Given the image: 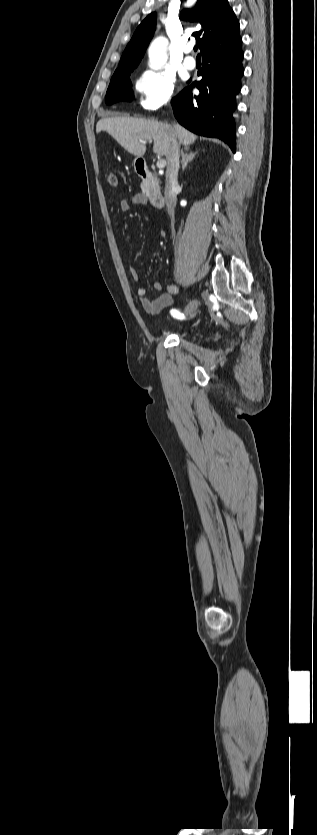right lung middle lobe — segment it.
Returning <instances> with one entry per match:
<instances>
[{"instance_id":"1","label":"right lung middle lobe","mask_w":317,"mask_h":835,"mask_svg":"<svg viewBox=\"0 0 317 835\" xmlns=\"http://www.w3.org/2000/svg\"><path fill=\"white\" fill-rule=\"evenodd\" d=\"M132 71L133 69L115 71L106 93L105 100L107 104L133 99L132 84L129 79Z\"/></svg>"}]
</instances>
